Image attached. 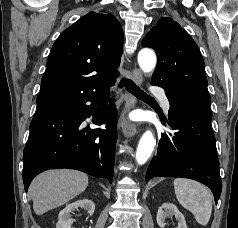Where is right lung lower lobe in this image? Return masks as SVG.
<instances>
[{
  "label": "right lung lower lobe",
  "instance_id": "right-lung-lower-lobe-1",
  "mask_svg": "<svg viewBox=\"0 0 238 228\" xmlns=\"http://www.w3.org/2000/svg\"><path fill=\"white\" fill-rule=\"evenodd\" d=\"M107 96L108 89L36 110L23 154L26 192L36 175L56 168L77 169L112 182L117 110L112 103L107 105ZM87 102L98 106L100 110L96 111ZM91 115L95 117L93 123H106V128L85 127V119Z\"/></svg>",
  "mask_w": 238,
  "mask_h": 228
}]
</instances>
